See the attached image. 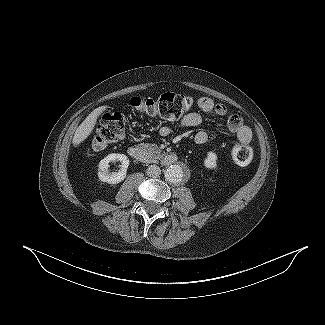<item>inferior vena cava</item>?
<instances>
[{"label":"inferior vena cava","mask_w":325,"mask_h":325,"mask_svg":"<svg viewBox=\"0 0 325 325\" xmlns=\"http://www.w3.org/2000/svg\"><path fill=\"white\" fill-rule=\"evenodd\" d=\"M146 174L150 177H158L161 174V170L158 166L156 165H151L147 168Z\"/></svg>","instance_id":"obj_1"}]
</instances>
